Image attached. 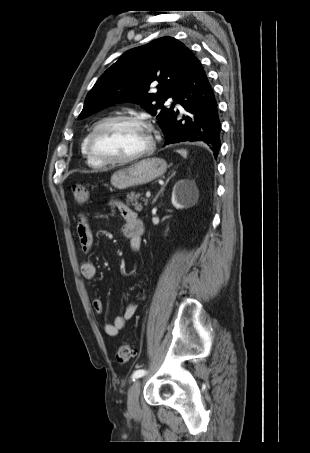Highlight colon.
Wrapping results in <instances>:
<instances>
[{"instance_id": "1", "label": "colon", "mask_w": 310, "mask_h": 453, "mask_svg": "<svg viewBox=\"0 0 310 453\" xmlns=\"http://www.w3.org/2000/svg\"><path fill=\"white\" fill-rule=\"evenodd\" d=\"M74 201L77 205L83 206L88 201V190L84 185L76 184L72 188ZM134 356V350L129 344L121 345L116 352V360L125 364Z\"/></svg>"}]
</instances>
